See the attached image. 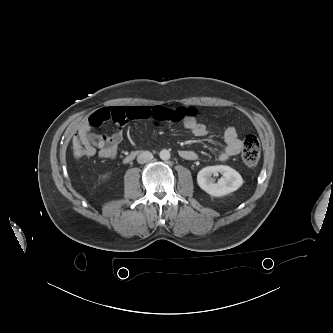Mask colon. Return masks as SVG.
<instances>
[{"mask_svg":"<svg viewBox=\"0 0 333 333\" xmlns=\"http://www.w3.org/2000/svg\"><path fill=\"white\" fill-rule=\"evenodd\" d=\"M73 154L76 158L85 156V149L78 137H75L72 141ZM261 146L259 139L253 135L248 134L244 137L242 143V159L248 166H254L260 159Z\"/></svg>","mask_w":333,"mask_h":333,"instance_id":"1","label":"colon"}]
</instances>
